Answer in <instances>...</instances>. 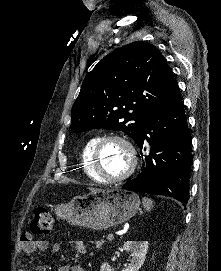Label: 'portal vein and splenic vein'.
Listing matches in <instances>:
<instances>
[{"label": "portal vein and splenic vein", "instance_id": "18ae733b", "mask_svg": "<svg viewBox=\"0 0 221 271\" xmlns=\"http://www.w3.org/2000/svg\"><path fill=\"white\" fill-rule=\"evenodd\" d=\"M107 240H115V235H107Z\"/></svg>", "mask_w": 221, "mask_h": 271}]
</instances>
